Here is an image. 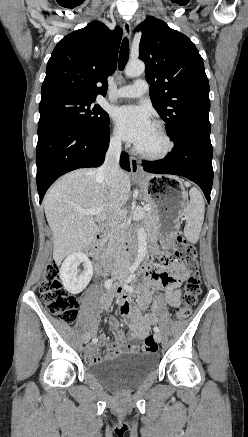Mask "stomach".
<instances>
[{
  "label": "stomach",
  "instance_id": "0dacf381",
  "mask_svg": "<svg viewBox=\"0 0 248 437\" xmlns=\"http://www.w3.org/2000/svg\"><path fill=\"white\" fill-rule=\"evenodd\" d=\"M145 200L155 206L158 213V232L162 239L174 235L186 206V192L183 187L176 189L173 181L179 178L168 175L146 174L137 179Z\"/></svg>",
  "mask_w": 248,
  "mask_h": 437
}]
</instances>
